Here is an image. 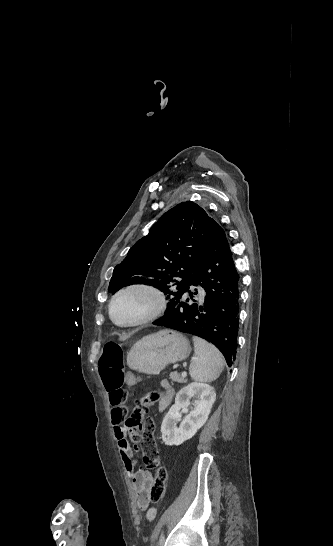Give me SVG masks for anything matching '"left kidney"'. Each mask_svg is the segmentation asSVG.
<instances>
[{"instance_id": "1", "label": "left kidney", "mask_w": 333, "mask_h": 546, "mask_svg": "<svg viewBox=\"0 0 333 546\" xmlns=\"http://www.w3.org/2000/svg\"><path fill=\"white\" fill-rule=\"evenodd\" d=\"M195 399V405L182 420L179 427L180 411L190 405ZM216 399L214 388L208 384L192 382L182 388L175 398V403L165 415L161 424L162 439L166 445H180L191 439L208 419Z\"/></svg>"}]
</instances>
